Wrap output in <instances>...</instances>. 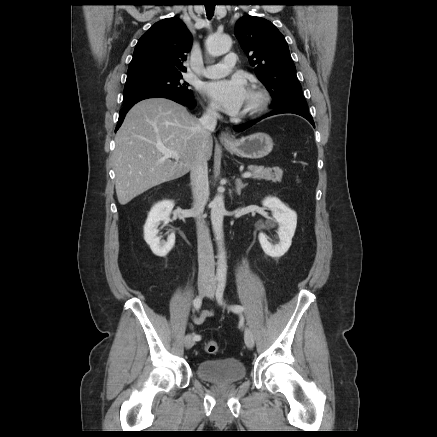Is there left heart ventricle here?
<instances>
[{"label": "left heart ventricle", "instance_id": "1", "mask_svg": "<svg viewBox=\"0 0 437 437\" xmlns=\"http://www.w3.org/2000/svg\"><path fill=\"white\" fill-rule=\"evenodd\" d=\"M256 100H257L256 96L249 91L242 112H245L247 109L252 107L256 103Z\"/></svg>", "mask_w": 437, "mask_h": 437}]
</instances>
